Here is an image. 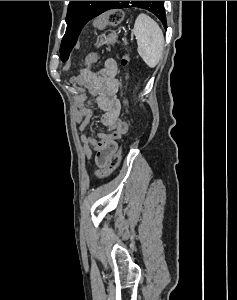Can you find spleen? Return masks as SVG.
Returning a JSON list of instances; mask_svg holds the SVG:
<instances>
[{
    "label": "spleen",
    "mask_w": 237,
    "mask_h": 300,
    "mask_svg": "<svg viewBox=\"0 0 237 300\" xmlns=\"http://www.w3.org/2000/svg\"><path fill=\"white\" fill-rule=\"evenodd\" d=\"M133 33L137 39V51L141 59L148 67L154 69L164 49V37L159 25L151 17L141 13L135 21Z\"/></svg>",
    "instance_id": "3e777b00"
}]
</instances>
